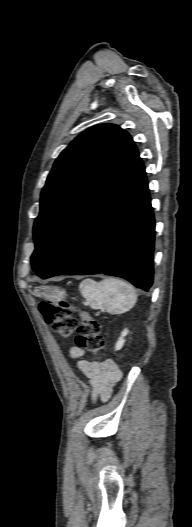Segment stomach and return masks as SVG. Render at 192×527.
<instances>
[{"mask_svg":"<svg viewBox=\"0 0 192 527\" xmlns=\"http://www.w3.org/2000/svg\"><path fill=\"white\" fill-rule=\"evenodd\" d=\"M36 293L38 296L43 297L47 301H57L66 297L65 291L57 287H37Z\"/></svg>","mask_w":192,"mask_h":527,"instance_id":"1","label":"stomach"}]
</instances>
